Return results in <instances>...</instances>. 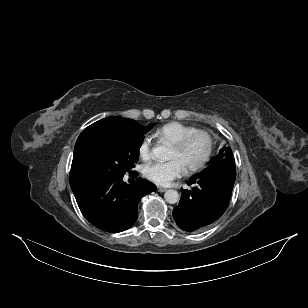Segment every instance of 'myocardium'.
<instances>
[{"label": "myocardium", "mask_w": 308, "mask_h": 308, "mask_svg": "<svg viewBox=\"0 0 308 308\" xmlns=\"http://www.w3.org/2000/svg\"><path fill=\"white\" fill-rule=\"evenodd\" d=\"M197 136H204L207 140V149L203 157L194 165L189 166L186 168L187 172L192 173L201 170L204 168L207 163L210 161L213 151H214V139L210 132L202 129H197L191 133H188L183 138H181L179 141L172 144L174 148L177 150H183L185 149L189 143Z\"/></svg>", "instance_id": "f54148a6"}]
</instances>
